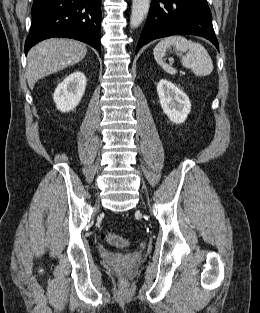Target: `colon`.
I'll use <instances>...</instances> for the list:
<instances>
[{"instance_id": "colon-1", "label": "colon", "mask_w": 260, "mask_h": 313, "mask_svg": "<svg viewBox=\"0 0 260 313\" xmlns=\"http://www.w3.org/2000/svg\"><path fill=\"white\" fill-rule=\"evenodd\" d=\"M105 240L114 247H126L127 241L112 231H107L104 235Z\"/></svg>"}]
</instances>
